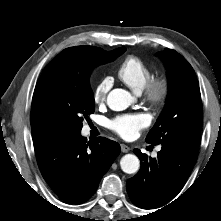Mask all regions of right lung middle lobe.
Returning <instances> with one entry per match:
<instances>
[{"label":"right lung middle lobe","mask_w":221,"mask_h":221,"mask_svg":"<svg viewBox=\"0 0 221 221\" xmlns=\"http://www.w3.org/2000/svg\"><path fill=\"white\" fill-rule=\"evenodd\" d=\"M126 51H105L93 46L63 50L44 69L32 98V135L79 132L83 119L95 110L89 75L95 67L111 62Z\"/></svg>","instance_id":"1"}]
</instances>
